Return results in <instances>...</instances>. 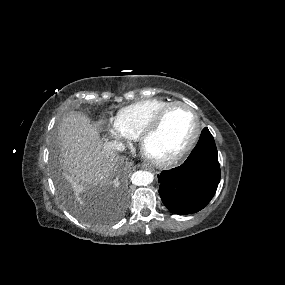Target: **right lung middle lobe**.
<instances>
[{"instance_id": "dd1d6c3e", "label": "right lung middle lobe", "mask_w": 285, "mask_h": 285, "mask_svg": "<svg viewBox=\"0 0 285 285\" xmlns=\"http://www.w3.org/2000/svg\"><path fill=\"white\" fill-rule=\"evenodd\" d=\"M88 220H90V221H94V220H92L91 218H87Z\"/></svg>"}]
</instances>
